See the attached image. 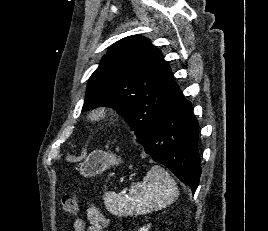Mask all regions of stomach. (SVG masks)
<instances>
[{
    "mask_svg": "<svg viewBox=\"0 0 268 231\" xmlns=\"http://www.w3.org/2000/svg\"><path fill=\"white\" fill-rule=\"evenodd\" d=\"M121 158L113 153L102 150L93 151L84 162L79 164L78 171L85 177H93L101 174L111 166L119 165Z\"/></svg>",
    "mask_w": 268,
    "mask_h": 231,
    "instance_id": "1",
    "label": "stomach"
}]
</instances>
